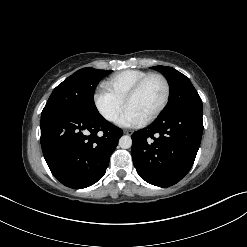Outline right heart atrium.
<instances>
[{
	"label": "right heart atrium",
	"instance_id": "1",
	"mask_svg": "<svg viewBox=\"0 0 247 247\" xmlns=\"http://www.w3.org/2000/svg\"><path fill=\"white\" fill-rule=\"evenodd\" d=\"M94 104L103 118L109 122H115L124 107V100L102 86L94 94Z\"/></svg>",
	"mask_w": 247,
	"mask_h": 247
}]
</instances>
